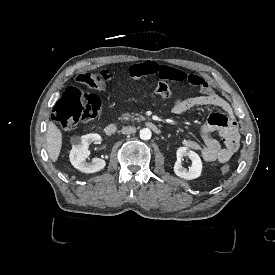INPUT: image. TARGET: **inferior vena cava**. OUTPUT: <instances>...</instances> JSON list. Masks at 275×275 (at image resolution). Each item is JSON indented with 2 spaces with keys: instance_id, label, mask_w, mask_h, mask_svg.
<instances>
[{
  "instance_id": "1",
  "label": "inferior vena cava",
  "mask_w": 275,
  "mask_h": 275,
  "mask_svg": "<svg viewBox=\"0 0 275 275\" xmlns=\"http://www.w3.org/2000/svg\"><path fill=\"white\" fill-rule=\"evenodd\" d=\"M136 132V127L134 126H126L121 129L122 134H132Z\"/></svg>"
}]
</instances>
